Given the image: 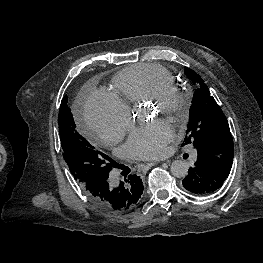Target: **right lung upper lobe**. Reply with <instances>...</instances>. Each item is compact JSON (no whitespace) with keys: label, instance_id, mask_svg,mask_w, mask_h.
Returning <instances> with one entry per match:
<instances>
[{"label":"right lung upper lobe","instance_id":"obj_1","mask_svg":"<svg viewBox=\"0 0 263 263\" xmlns=\"http://www.w3.org/2000/svg\"><path fill=\"white\" fill-rule=\"evenodd\" d=\"M143 192V187L140 186L136 190L133 191L132 195H130V200L125 203L122 207L112 211V213H123L130 209H132L138 202L141 194Z\"/></svg>","mask_w":263,"mask_h":263}]
</instances>
